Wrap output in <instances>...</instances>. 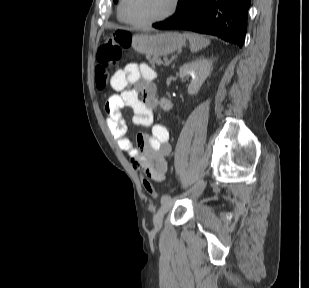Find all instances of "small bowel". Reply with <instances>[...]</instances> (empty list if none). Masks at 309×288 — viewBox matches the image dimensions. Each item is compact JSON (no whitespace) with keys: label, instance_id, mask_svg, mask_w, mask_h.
<instances>
[{"label":"small bowel","instance_id":"1","mask_svg":"<svg viewBox=\"0 0 309 288\" xmlns=\"http://www.w3.org/2000/svg\"><path fill=\"white\" fill-rule=\"evenodd\" d=\"M153 70L145 64L128 63L114 73L111 87L115 90L106 101V124L118 147L131 159L133 166L148 178L162 181L171 154L166 126L153 123V112L159 105ZM124 106L133 110V121L141 127H151V134H140L137 147L128 137L129 129L121 113Z\"/></svg>","mask_w":309,"mask_h":288}]
</instances>
